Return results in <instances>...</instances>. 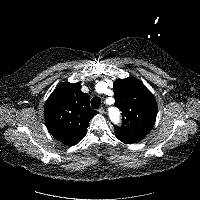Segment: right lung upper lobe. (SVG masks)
Returning a JSON list of instances; mask_svg holds the SVG:
<instances>
[{"label":"right lung upper lobe","mask_w":200,"mask_h":200,"mask_svg":"<svg viewBox=\"0 0 200 200\" xmlns=\"http://www.w3.org/2000/svg\"><path fill=\"white\" fill-rule=\"evenodd\" d=\"M89 103V95L81 91V82L60 84L45 104V122L50 134L67 146L79 143L96 114Z\"/></svg>","instance_id":"obj_1"}]
</instances>
